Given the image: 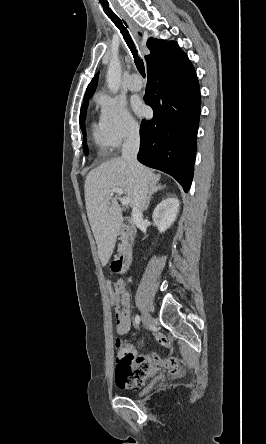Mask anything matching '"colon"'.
<instances>
[{
    "instance_id": "obj_1",
    "label": "colon",
    "mask_w": 266,
    "mask_h": 444,
    "mask_svg": "<svg viewBox=\"0 0 266 444\" xmlns=\"http://www.w3.org/2000/svg\"><path fill=\"white\" fill-rule=\"evenodd\" d=\"M123 290H124V285L121 280H115L111 283L110 296H111V304L114 307V309L118 308L119 306Z\"/></svg>"
}]
</instances>
